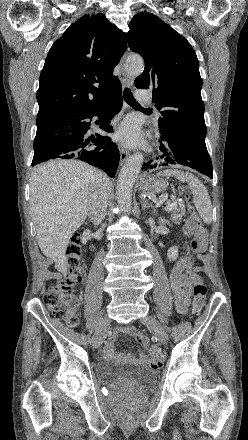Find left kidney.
Here are the masks:
<instances>
[{
	"label": "left kidney",
	"mask_w": 248,
	"mask_h": 440,
	"mask_svg": "<svg viewBox=\"0 0 248 440\" xmlns=\"http://www.w3.org/2000/svg\"><path fill=\"white\" fill-rule=\"evenodd\" d=\"M167 257L169 260L174 261L178 257V247L173 246L168 250Z\"/></svg>",
	"instance_id": "5707ae66"
}]
</instances>
